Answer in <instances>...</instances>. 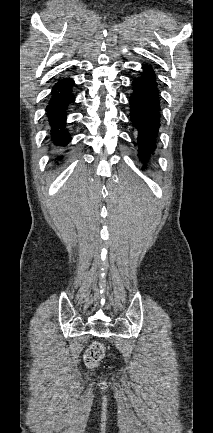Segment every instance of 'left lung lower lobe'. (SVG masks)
Returning a JSON list of instances; mask_svg holds the SVG:
<instances>
[{
	"mask_svg": "<svg viewBox=\"0 0 213 433\" xmlns=\"http://www.w3.org/2000/svg\"><path fill=\"white\" fill-rule=\"evenodd\" d=\"M141 76L132 82L133 93L129 99L132 125L136 130L138 156L141 161L148 160L156 148V139L160 127L159 94L154 71L150 66H143ZM144 168V167H143Z\"/></svg>",
	"mask_w": 213,
	"mask_h": 433,
	"instance_id": "left-lung-lower-lobe-1",
	"label": "left lung lower lobe"
}]
</instances>
